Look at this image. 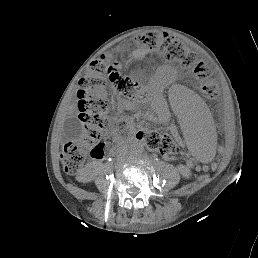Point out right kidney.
<instances>
[{
    "instance_id": "obj_1",
    "label": "right kidney",
    "mask_w": 258,
    "mask_h": 258,
    "mask_svg": "<svg viewBox=\"0 0 258 258\" xmlns=\"http://www.w3.org/2000/svg\"><path fill=\"white\" fill-rule=\"evenodd\" d=\"M94 178V173H92L88 167L83 168L80 173L78 174V181L87 183L93 180Z\"/></svg>"
}]
</instances>
